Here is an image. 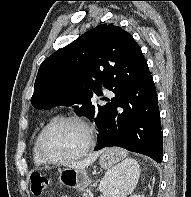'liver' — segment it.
Listing matches in <instances>:
<instances>
[{
    "instance_id": "liver-1",
    "label": "liver",
    "mask_w": 191,
    "mask_h": 197,
    "mask_svg": "<svg viewBox=\"0 0 191 197\" xmlns=\"http://www.w3.org/2000/svg\"><path fill=\"white\" fill-rule=\"evenodd\" d=\"M101 153H102V151L101 152H96V153L90 155L89 157H87L84 160L69 164V167L70 168H75V169L86 168V167L90 166L91 164H93Z\"/></svg>"
}]
</instances>
